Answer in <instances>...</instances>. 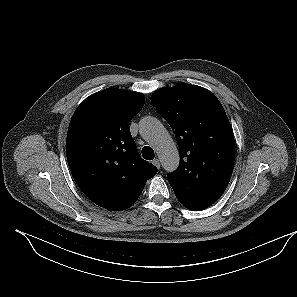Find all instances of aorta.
<instances>
[{"mask_svg":"<svg viewBox=\"0 0 297 297\" xmlns=\"http://www.w3.org/2000/svg\"><path fill=\"white\" fill-rule=\"evenodd\" d=\"M141 136L154 148L167 172H173L179 165L177 146L162 123L154 117H145L139 123Z\"/></svg>","mask_w":297,"mask_h":297,"instance_id":"aorta-1","label":"aorta"}]
</instances>
